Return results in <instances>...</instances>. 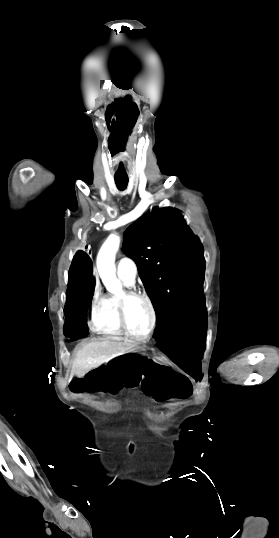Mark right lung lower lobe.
Wrapping results in <instances>:
<instances>
[{
  "label": "right lung lower lobe",
  "mask_w": 279,
  "mask_h": 538,
  "mask_svg": "<svg viewBox=\"0 0 279 538\" xmlns=\"http://www.w3.org/2000/svg\"><path fill=\"white\" fill-rule=\"evenodd\" d=\"M92 261L82 251L74 256L69 270V285L66 293L64 334L80 338L88 334L86 306L93 297Z\"/></svg>",
  "instance_id": "98d812e1"
}]
</instances>
